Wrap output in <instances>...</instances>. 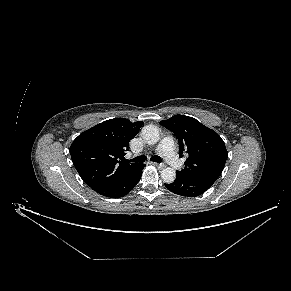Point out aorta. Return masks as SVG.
<instances>
[{"label":"aorta","instance_id":"aorta-1","mask_svg":"<svg viewBox=\"0 0 291 291\" xmlns=\"http://www.w3.org/2000/svg\"><path fill=\"white\" fill-rule=\"evenodd\" d=\"M142 139L148 144H156L159 141V130L154 125H146L141 130ZM161 178L165 183H172L176 178V171L167 167L161 171Z\"/></svg>","mask_w":291,"mask_h":291}]
</instances>
